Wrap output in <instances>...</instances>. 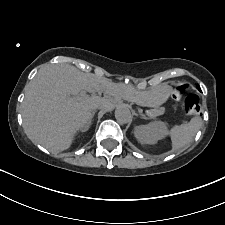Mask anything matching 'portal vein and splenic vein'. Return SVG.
Segmentation results:
<instances>
[{
    "label": "portal vein and splenic vein",
    "instance_id": "portal-vein-and-splenic-vein-1",
    "mask_svg": "<svg viewBox=\"0 0 225 225\" xmlns=\"http://www.w3.org/2000/svg\"><path fill=\"white\" fill-rule=\"evenodd\" d=\"M97 92L100 93L99 90ZM84 96H86V92L85 91H82L80 93V96H78V97H84ZM147 114L150 115L149 111H147Z\"/></svg>",
    "mask_w": 225,
    "mask_h": 225
}]
</instances>
